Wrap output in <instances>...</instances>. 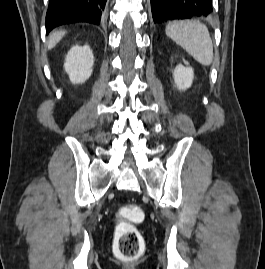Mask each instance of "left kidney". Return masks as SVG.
<instances>
[{
	"label": "left kidney",
	"mask_w": 265,
	"mask_h": 269,
	"mask_svg": "<svg viewBox=\"0 0 265 269\" xmlns=\"http://www.w3.org/2000/svg\"><path fill=\"white\" fill-rule=\"evenodd\" d=\"M184 62L188 65V62ZM173 77L175 87L180 91H184L192 85L194 71L190 66L184 67L182 64H179L173 71Z\"/></svg>",
	"instance_id": "obj_1"
}]
</instances>
